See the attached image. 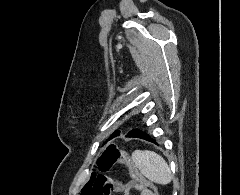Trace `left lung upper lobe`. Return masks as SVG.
Instances as JSON below:
<instances>
[{"label":"left lung upper lobe","instance_id":"left-lung-upper-lobe-1","mask_svg":"<svg viewBox=\"0 0 240 195\" xmlns=\"http://www.w3.org/2000/svg\"><path fill=\"white\" fill-rule=\"evenodd\" d=\"M118 133H119V131L116 130V131L112 134V136H116Z\"/></svg>","mask_w":240,"mask_h":195}]
</instances>
